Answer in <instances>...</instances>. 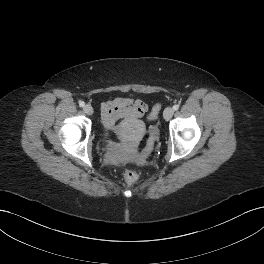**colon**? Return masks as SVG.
<instances>
[{"instance_id":"1","label":"colon","mask_w":264,"mask_h":264,"mask_svg":"<svg viewBox=\"0 0 264 264\" xmlns=\"http://www.w3.org/2000/svg\"><path fill=\"white\" fill-rule=\"evenodd\" d=\"M160 107H161V105L159 103L153 107V109L149 115L150 121H154L157 118ZM154 141H155L154 135L151 134L148 141H147L146 149L144 151L145 156L152 150L153 145H154ZM137 179H138V172L136 170L126 169L124 171V180L126 181L127 184H130V185L134 184L137 181Z\"/></svg>"}]
</instances>
